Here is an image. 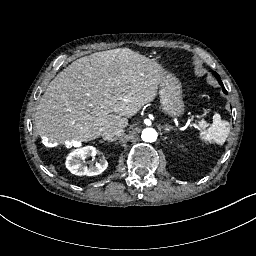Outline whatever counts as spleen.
Wrapping results in <instances>:
<instances>
[{"label": "spleen", "mask_w": 256, "mask_h": 256, "mask_svg": "<svg viewBox=\"0 0 256 256\" xmlns=\"http://www.w3.org/2000/svg\"><path fill=\"white\" fill-rule=\"evenodd\" d=\"M230 133V124L226 120H221L219 116H214L213 123L206 131L198 135V139L205 145L222 146Z\"/></svg>", "instance_id": "spleen-1"}]
</instances>
